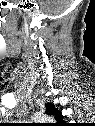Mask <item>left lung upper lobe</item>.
I'll return each mask as SVG.
<instances>
[{
    "label": "left lung upper lobe",
    "instance_id": "1",
    "mask_svg": "<svg viewBox=\"0 0 95 126\" xmlns=\"http://www.w3.org/2000/svg\"><path fill=\"white\" fill-rule=\"evenodd\" d=\"M45 113L53 116L57 122H63L61 112L53 104H45Z\"/></svg>",
    "mask_w": 95,
    "mask_h": 126
}]
</instances>
